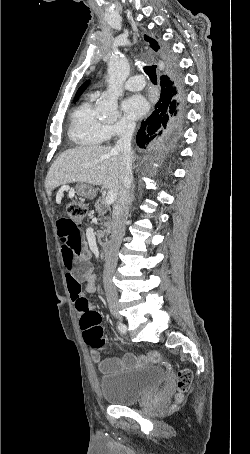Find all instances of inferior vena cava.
Wrapping results in <instances>:
<instances>
[{
    "instance_id": "1",
    "label": "inferior vena cava",
    "mask_w": 250,
    "mask_h": 454,
    "mask_svg": "<svg viewBox=\"0 0 250 454\" xmlns=\"http://www.w3.org/2000/svg\"><path fill=\"white\" fill-rule=\"evenodd\" d=\"M135 124L129 123L122 129L119 140L114 151L119 154L123 165V176L118 193V199L113 209L111 222V241L107 254L105 268L103 272V283L109 305H117V289L113 284L112 277L116 269L118 260V250L125 234V222L129 213L131 202V183H132V152L131 140L134 133Z\"/></svg>"
}]
</instances>
